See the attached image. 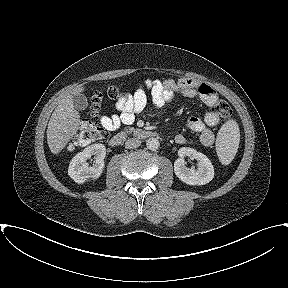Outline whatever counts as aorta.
Listing matches in <instances>:
<instances>
[{"instance_id":"762f6f07","label":"aorta","mask_w":288,"mask_h":288,"mask_svg":"<svg viewBox=\"0 0 288 288\" xmlns=\"http://www.w3.org/2000/svg\"><path fill=\"white\" fill-rule=\"evenodd\" d=\"M159 146H160V143H159V140L157 138L152 137L146 141V147L149 150L155 151L159 148Z\"/></svg>"}]
</instances>
